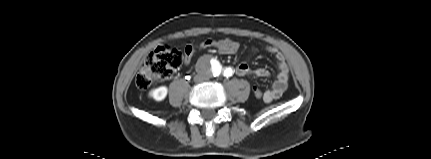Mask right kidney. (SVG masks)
Instances as JSON below:
<instances>
[{"instance_id": "1", "label": "right kidney", "mask_w": 431, "mask_h": 159, "mask_svg": "<svg viewBox=\"0 0 431 159\" xmlns=\"http://www.w3.org/2000/svg\"><path fill=\"white\" fill-rule=\"evenodd\" d=\"M168 93V88L166 86H160L158 88L152 89L149 92V96L156 101H162L165 99Z\"/></svg>"}]
</instances>
